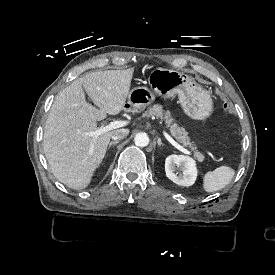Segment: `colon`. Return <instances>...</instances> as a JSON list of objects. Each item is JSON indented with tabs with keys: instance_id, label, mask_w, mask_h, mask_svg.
Segmentation results:
<instances>
[{
	"instance_id": "colon-1",
	"label": "colon",
	"mask_w": 275,
	"mask_h": 275,
	"mask_svg": "<svg viewBox=\"0 0 275 275\" xmlns=\"http://www.w3.org/2000/svg\"><path fill=\"white\" fill-rule=\"evenodd\" d=\"M223 109L225 110V113L227 116L232 117L235 115L236 110L233 107V104L229 100H224L222 104Z\"/></svg>"
}]
</instances>
